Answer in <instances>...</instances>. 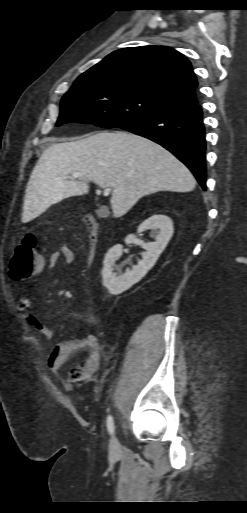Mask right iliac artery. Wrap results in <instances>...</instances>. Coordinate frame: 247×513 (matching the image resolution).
<instances>
[{
  "instance_id": "obj_1",
  "label": "right iliac artery",
  "mask_w": 247,
  "mask_h": 513,
  "mask_svg": "<svg viewBox=\"0 0 247 513\" xmlns=\"http://www.w3.org/2000/svg\"><path fill=\"white\" fill-rule=\"evenodd\" d=\"M107 429L110 434L114 433V421H113V417L111 415H109L107 417Z\"/></svg>"
}]
</instances>
